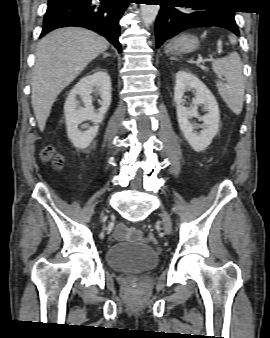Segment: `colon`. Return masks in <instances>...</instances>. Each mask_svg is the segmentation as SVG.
Returning <instances> with one entry per match:
<instances>
[{
  "label": "colon",
  "mask_w": 270,
  "mask_h": 338,
  "mask_svg": "<svg viewBox=\"0 0 270 338\" xmlns=\"http://www.w3.org/2000/svg\"><path fill=\"white\" fill-rule=\"evenodd\" d=\"M42 157L46 161H50L54 167L60 168L63 163L62 156L55 152L52 147H45L42 151ZM146 241L152 244L156 243V238L154 236H149L146 238Z\"/></svg>",
  "instance_id": "5ec220e1"
}]
</instances>
